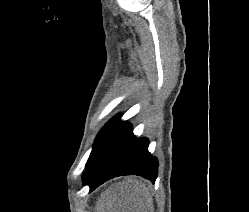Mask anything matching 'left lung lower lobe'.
Listing matches in <instances>:
<instances>
[{
  "instance_id": "0a47b994",
  "label": "left lung lower lobe",
  "mask_w": 249,
  "mask_h": 212,
  "mask_svg": "<svg viewBox=\"0 0 249 212\" xmlns=\"http://www.w3.org/2000/svg\"><path fill=\"white\" fill-rule=\"evenodd\" d=\"M147 138H136L127 122L117 120L103 136L86 164L84 185L90 192L120 175H140L152 183L158 175V161L148 152Z\"/></svg>"
}]
</instances>
